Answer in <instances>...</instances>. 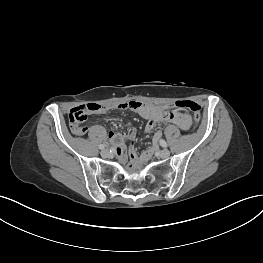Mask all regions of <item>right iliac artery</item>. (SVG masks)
I'll use <instances>...</instances> for the list:
<instances>
[{"label": "right iliac artery", "mask_w": 263, "mask_h": 263, "mask_svg": "<svg viewBox=\"0 0 263 263\" xmlns=\"http://www.w3.org/2000/svg\"><path fill=\"white\" fill-rule=\"evenodd\" d=\"M98 147H99V149H101V150H102V149H104V148H105V145H103V144H100Z\"/></svg>", "instance_id": "1"}]
</instances>
